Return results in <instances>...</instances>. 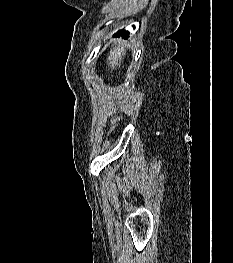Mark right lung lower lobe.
Segmentation results:
<instances>
[{
    "instance_id": "obj_1",
    "label": "right lung lower lobe",
    "mask_w": 233,
    "mask_h": 263,
    "mask_svg": "<svg viewBox=\"0 0 233 263\" xmlns=\"http://www.w3.org/2000/svg\"><path fill=\"white\" fill-rule=\"evenodd\" d=\"M120 34H121L123 37H126V36L129 35V32L126 31V30H120V31H118L117 35L119 36Z\"/></svg>"
}]
</instances>
